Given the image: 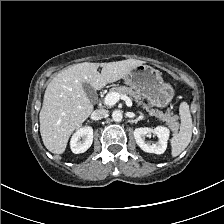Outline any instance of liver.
Listing matches in <instances>:
<instances>
[{
    "label": "liver",
    "instance_id": "6515ba94",
    "mask_svg": "<svg viewBox=\"0 0 224 224\" xmlns=\"http://www.w3.org/2000/svg\"><path fill=\"white\" fill-rule=\"evenodd\" d=\"M143 63L136 59L84 62L60 71L47 85L39 114L45 147L54 154H62L71 134L91 115L93 106L83 89L84 83L100 90L108 83L124 78ZM99 67H102L101 73L97 71Z\"/></svg>",
    "mask_w": 224,
    "mask_h": 224
}]
</instances>
